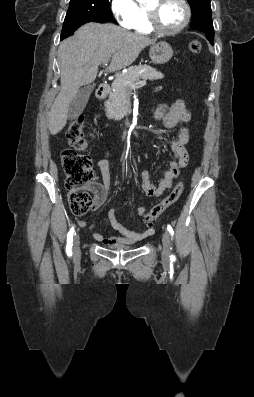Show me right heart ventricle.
I'll list each match as a JSON object with an SVG mask.
<instances>
[{"instance_id":"right-heart-ventricle-1","label":"right heart ventricle","mask_w":254,"mask_h":397,"mask_svg":"<svg viewBox=\"0 0 254 397\" xmlns=\"http://www.w3.org/2000/svg\"><path fill=\"white\" fill-rule=\"evenodd\" d=\"M139 8H140V16L133 29H135L139 33L148 34L152 30L148 25L146 9L143 7H139Z\"/></svg>"}]
</instances>
